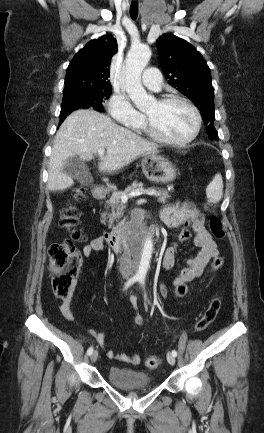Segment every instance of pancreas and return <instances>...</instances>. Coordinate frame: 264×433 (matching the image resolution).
Instances as JSON below:
<instances>
[{"label": "pancreas", "instance_id": "cf45deb5", "mask_svg": "<svg viewBox=\"0 0 264 433\" xmlns=\"http://www.w3.org/2000/svg\"><path fill=\"white\" fill-rule=\"evenodd\" d=\"M150 189L157 191L155 197L159 203H165L167 198L170 197L169 192L165 189H156L155 187ZM136 190H142V183L135 181L130 186L126 187L124 191H113L110 199L107 201L106 211L101 215L102 222L105 223L108 219L109 228L114 227V221L119 220L123 216L125 209L124 204L121 202V195L129 194Z\"/></svg>", "mask_w": 264, "mask_h": 433}]
</instances>
